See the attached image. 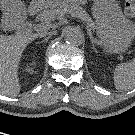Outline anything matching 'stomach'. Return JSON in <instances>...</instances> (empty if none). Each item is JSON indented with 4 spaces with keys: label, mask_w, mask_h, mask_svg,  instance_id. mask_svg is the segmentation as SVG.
<instances>
[{
    "label": "stomach",
    "mask_w": 135,
    "mask_h": 135,
    "mask_svg": "<svg viewBox=\"0 0 135 135\" xmlns=\"http://www.w3.org/2000/svg\"><path fill=\"white\" fill-rule=\"evenodd\" d=\"M15 6L17 13L24 9L18 3ZM92 14L106 51L124 52L135 38V24L123 15L116 0H94Z\"/></svg>",
    "instance_id": "1"
}]
</instances>
